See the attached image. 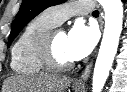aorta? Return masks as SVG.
Returning <instances> with one entry per match:
<instances>
[{"label": "aorta", "mask_w": 127, "mask_h": 92, "mask_svg": "<svg viewBox=\"0 0 127 92\" xmlns=\"http://www.w3.org/2000/svg\"><path fill=\"white\" fill-rule=\"evenodd\" d=\"M105 12V29L95 63L92 92H101L117 52L123 24L121 0H99Z\"/></svg>", "instance_id": "aorta-1"}]
</instances>
